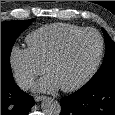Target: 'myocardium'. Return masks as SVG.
I'll return each instance as SVG.
<instances>
[{"mask_svg": "<svg viewBox=\"0 0 115 115\" xmlns=\"http://www.w3.org/2000/svg\"><path fill=\"white\" fill-rule=\"evenodd\" d=\"M87 33H93L99 39L98 56L96 58L95 63L93 64L92 68L89 70V72L83 78H81L79 81H77L71 85L61 86V89L65 92H73V91L79 90L80 88L85 86L97 73V71L101 65V62H102V59L104 56V50H105V43H104V39H103L101 33L93 28H84V29L72 34L49 57V59L47 60V62L45 64V71L47 73H49V70L52 67V65H54L56 62H58L66 54V52L68 51V49L70 48L72 43L76 39H78L79 37H81L82 35L87 34Z\"/></svg>", "mask_w": 115, "mask_h": 115, "instance_id": "1", "label": "myocardium"}]
</instances>
